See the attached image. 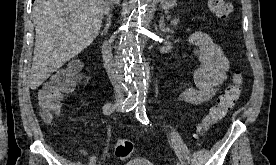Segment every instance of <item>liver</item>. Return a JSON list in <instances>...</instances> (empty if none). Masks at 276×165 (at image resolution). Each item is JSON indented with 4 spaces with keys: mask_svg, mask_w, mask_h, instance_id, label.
<instances>
[{
    "mask_svg": "<svg viewBox=\"0 0 276 165\" xmlns=\"http://www.w3.org/2000/svg\"><path fill=\"white\" fill-rule=\"evenodd\" d=\"M119 1V0H117ZM107 0H35L36 30L29 80L38 88L98 36Z\"/></svg>",
    "mask_w": 276,
    "mask_h": 165,
    "instance_id": "1",
    "label": "liver"
}]
</instances>
